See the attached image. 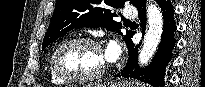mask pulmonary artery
<instances>
[{
	"instance_id": "pulmonary-artery-1",
	"label": "pulmonary artery",
	"mask_w": 205,
	"mask_h": 87,
	"mask_svg": "<svg viewBox=\"0 0 205 87\" xmlns=\"http://www.w3.org/2000/svg\"><path fill=\"white\" fill-rule=\"evenodd\" d=\"M123 14L126 18H131L135 16V10L131 7H127L124 9Z\"/></svg>"
}]
</instances>
